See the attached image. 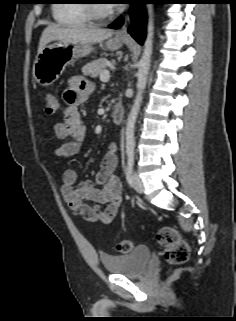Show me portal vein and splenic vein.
I'll use <instances>...</instances> for the list:
<instances>
[{"label":"portal vein and splenic vein","instance_id":"18ae733b","mask_svg":"<svg viewBox=\"0 0 236 321\" xmlns=\"http://www.w3.org/2000/svg\"><path fill=\"white\" fill-rule=\"evenodd\" d=\"M110 78V72L108 70H104L100 73V80L102 82H107Z\"/></svg>","mask_w":236,"mask_h":321}]
</instances>
